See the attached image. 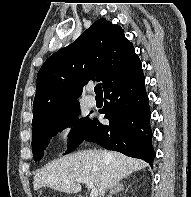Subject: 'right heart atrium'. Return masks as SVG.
Here are the masks:
<instances>
[{"label": "right heart atrium", "mask_w": 191, "mask_h": 197, "mask_svg": "<svg viewBox=\"0 0 191 197\" xmlns=\"http://www.w3.org/2000/svg\"><path fill=\"white\" fill-rule=\"evenodd\" d=\"M78 128L75 123L62 124L56 131V139L59 145L65 147L71 145L77 137Z\"/></svg>", "instance_id": "obj_1"}]
</instances>
